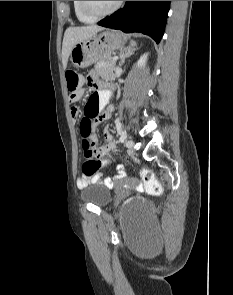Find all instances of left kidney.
<instances>
[{
	"instance_id": "obj_1",
	"label": "left kidney",
	"mask_w": 233,
	"mask_h": 295,
	"mask_svg": "<svg viewBox=\"0 0 233 295\" xmlns=\"http://www.w3.org/2000/svg\"><path fill=\"white\" fill-rule=\"evenodd\" d=\"M148 53L143 54L137 62V67L142 68L145 66L147 61Z\"/></svg>"
}]
</instances>
